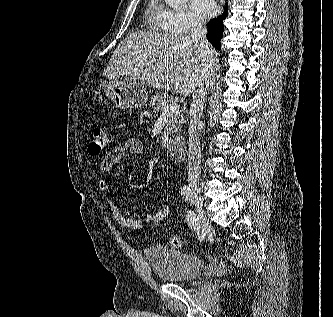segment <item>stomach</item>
Segmentation results:
<instances>
[{"instance_id": "1", "label": "stomach", "mask_w": 333, "mask_h": 317, "mask_svg": "<svg viewBox=\"0 0 333 317\" xmlns=\"http://www.w3.org/2000/svg\"><path fill=\"white\" fill-rule=\"evenodd\" d=\"M100 87L105 89L118 109L140 108L148 99L144 84L132 77L120 81L119 77L107 76L100 81Z\"/></svg>"}]
</instances>
